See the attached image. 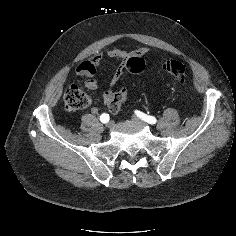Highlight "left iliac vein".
I'll use <instances>...</instances> for the list:
<instances>
[{"instance_id":"left-iliac-vein-1","label":"left iliac vein","mask_w":236,"mask_h":236,"mask_svg":"<svg viewBox=\"0 0 236 236\" xmlns=\"http://www.w3.org/2000/svg\"><path fill=\"white\" fill-rule=\"evenodd\" d=\"M133 120L138 122V123H143L144 124V121H142L141 119H139L138 117H133Z\"/></svg>"}]
</instances>
